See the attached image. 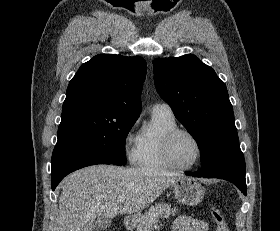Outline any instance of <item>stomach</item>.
Listing matches in <instances>:
<instances>
[{
    "instance_id": "obj_1",
    "label": "stomach",
    "mask_w": 280,
    "mask_h": 231,
    "mask_svg": "<svg viewBox=\"0 0 280 231\" xmlns=\"http://www.w3.org/2000/svg\"><path fill=\"white\" fill-rule=\"evenodd\" d=\"M176 199L184 205H197L204 197L205 189L194 177H177L173 183Z\"/></svg>"
}]
</instances>
